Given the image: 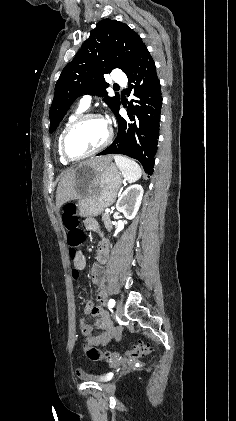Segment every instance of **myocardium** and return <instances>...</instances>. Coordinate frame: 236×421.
<instances>
[{"label":"myocardium","mask_w":236,"mask_h":421,"mask_svg":"<svg viewBox=\"0 0 236 421\" xmlns=\"http://www.w3.org/2000/svg\"><path fill=\"white\" fill-rule=\"evenodd\" d=\"M89 119H99V120H102L106 123L107 129H108L106 139L103 141L102 144H100L98 147H96L92 151H90L86 154L80 155V156H76V155L72 154L70 152L69 148H68L69 135H70L71 131L77 125H79L83 121L89 120ZM112 139H113V129L111 127V124L108 122V120L103 115L98 114V113L82 114V115L78 116L77 118H75L64 130L62 138H61V153H62L63 157L69 162L82 160V159L90 157V156L102 151L103 149H105L111 143Z\"/></svg>","instance_id":"myocardium-1"}]
</instances>
